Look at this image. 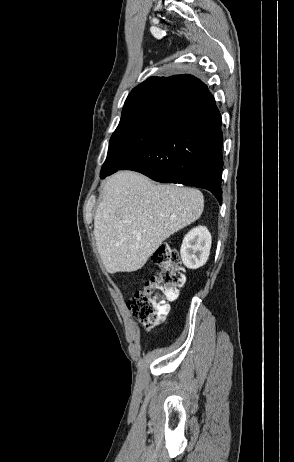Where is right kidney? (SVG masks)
Here are the masks:
<instances>
[{
    "label": "right kidney",
    "instance_id": "1",
    "mask_svg": "<svg viewBox=\"0 0 294 462\" xmlns=\"http://www.w3.org/2000/svg\"><path fill=\"white\" fill-rule=\"evenodd\" d=\"M211 234L205 226L191 229L184 237L180 255L183 264L189 269L203 266L209 257Z\"/></svg>",
    "mask_w": 294,
    "mask_h": 462
}]
</instances>
